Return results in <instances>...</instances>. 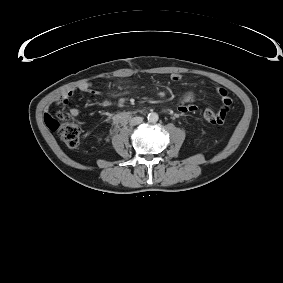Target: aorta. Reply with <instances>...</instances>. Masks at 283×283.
Wrapping results in <instances>:
<instances>
[{
    "instance_id": "762f6f07",
    "label": "aorta",
    "mask_w": 283,
    "mask_h": 283,
    "mask_svg": "<svg viewBox=\"0 0 283 283\" xmlns=\"http://www.w3.org/2000/svg\"><path fill=\"white\" fill-rule=\"evenodd\" d=\"M147 118L149 122L156 123L159 119V116L156 112H150Z\"/></svg>"
}]
</instances>
